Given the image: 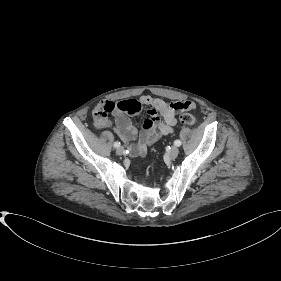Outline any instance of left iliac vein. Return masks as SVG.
Masks as SVG:
<instances>
[{
  "label": "left iliac vein",
  "instance_id": "left-iliac-vein-1",
  "mask_svg": "<svg viewBox=\"0 0 281 281\" xmlns=\"http://www.w3.org/2000/svg\"><path fill=\"white\" fill-rule=\"evenodd\" d=\"M178 153H179L178 147L177 146H172V148L169 151V156L171 158H175V157H177Z\"/></svg>",
  "mask_w": 281,
  "mask_h": 281
}]
</instances>
